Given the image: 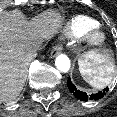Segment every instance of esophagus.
<instances>
[{"instance_id":"esophagus-1","label":"esophagus","mask_w":117,"mask_h":117,"mask_svg":"<svg viewBox=\"0 0 117 117\" xmlns=\"http://www.w3.org/2000/svg\"><path fill=\"white\" fill-rule=\"evenodd\" d=\"M62 46L61 45H56L54 46L52 52H51V57H55L56 55L60 54L62 52Z\"/></svg>"}]
</instances>
